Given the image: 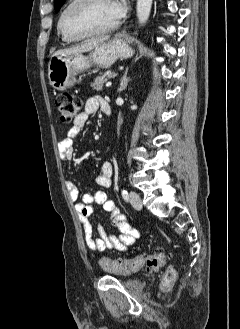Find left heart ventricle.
<instances>
[{"label":"left heart ventricle","instance_id":"obj_1","mask_svg":"<svg viewBox=\"0 0 240 329\" xmlns=\"http://www.w3.org/2000/svg\"><path fill=\"white\" fill-rule=\"evenodd\" d=\"M116 21L109 0H93L85 6L78 7L69 15L67 27L71 32L80 34L105 28Z\"/></svg>","mask_w":240,"mask_h":329}]
</instances>
